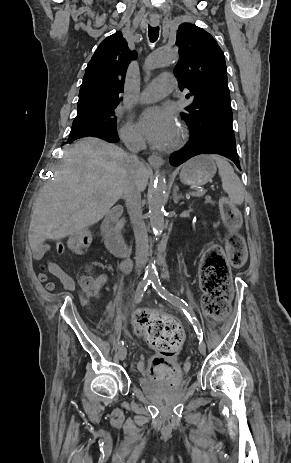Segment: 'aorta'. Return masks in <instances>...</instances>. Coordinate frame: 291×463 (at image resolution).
I'll return each instance as SVG.
<instances>
[{"label":"aorta","mask_w":291,"mask_h":463,"mask_svg":"<svg viewBox=\"0 0 291 463\" xmlns=\"http://www.w3.org/2000/svg\"><path fill=\"white\" fill-rule=\"evenodd\" d=\"M178 54L174 49H159L145 61V69L150 71L156 68L173 63ZM167 200V185L164 177L157 179L149 191V217L151 227L155 233H161L164 229V206ZM146 276L151 278L155 276V269L147 266Z\"/></svg>","instance_id":"obj_1"}]
</instances>
